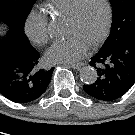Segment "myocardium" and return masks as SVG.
<instances>
[{
    "label": "myocardium",
    "instance_id": "1",
    "mask_svg": "<svg viewBox=\"0 0 135 135\" xmlns=\"http://www.w3.org/2000/svg\"><path fill=\"white\" fill-rule=\"evenodd\" d=\"M86 2V0H78L75 4L71 14L68 16L69 21H76L78 20L80 16V12L82 9L83 4ZM104 7H105V21L103 28L101 32L98 34V36L90 43L91 46H97L100 44L108 35L111 23H112V7L110 0H102Z\"/></svg>",
    "mask_w": 135,
    "mask_h": 135
}]
</instances>
